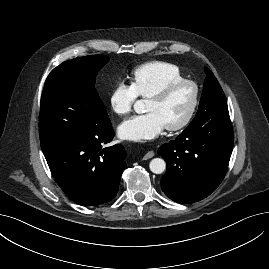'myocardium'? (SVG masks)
Segmentation results:
<instances>
[{"mask_svg": "<svg viewBox=\"0 0 269 269\" xmlns=\"http://www.w3.org/2000/svg\"><path fill=\"white\" fill-rule=\"evenodd\" d=\"M182 85H190L193 88L194 92H193L192 104H191L186 116L180 122L166 126L167 130H169V131H180V130L186 128L190 124V122L192 121V119L196 113V110L198 108L199 99H200V89H199L198 84L191 79L174 80V81L167 83L161 89L154 92L153 94H151L148 97V99H151V100H164L165 98H167L170 95V93L174 89H176L177 87L182 86Z\"/></svg>", "mask_w": 269, "mask_h": 269, "instance_id": "myocardium-1", "label": "myocardium"}]
</instances>
